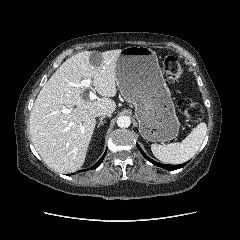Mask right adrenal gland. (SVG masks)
I'll list each match as a JSON object with an SVG mask.
<instances>
[{
	"label": "right adrenal gland",
	"instance_id": "2a0ac1e0",
	"mask_svg": "<svg viewBox=\"0 0 240 240\" xmlns=\"http://www.w3.org/2000/svg\"><path fill=\"white\" fill-rule=\"evenodd\" d=\"M105 118V116H102L99 118V122H98V125H97V128H99L101 125H103V119Z\"/></svg>",
	"mask_w": 240,
	"mask_h": 240
}]
</instances>
